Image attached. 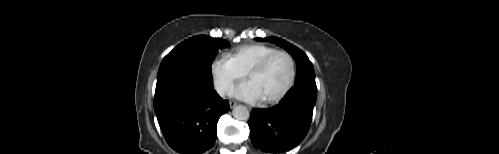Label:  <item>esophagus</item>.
Listing matches in <instances>:
<instances>
[{
  "mask_svg": "<svg viewBox=\"0 0 499 154\" xmlns=\"http://www.w3.org/2000/svg\"><path fill=\"white\" fill-rule=\"evenodd\" d=\"M236 105H237V102H235L233 100L229 102L230 108H234Z\"/></svg>",
  "mask_w": 499,
  "mask_h": 154,
  "instance_id": "obj_1",
  "label": "esophagus"
}]
</instances>
